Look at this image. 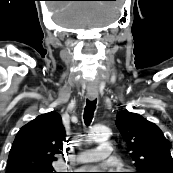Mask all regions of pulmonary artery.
Returning a JSON list of instances; mask_svg holds the SVG:
<instances>
[{"mask_svg": "<svg viewBox=\"0 0 173 173\" xmlns=\"http://www.w3.org/2000/svg\"><path fill=\"white\" fill-rule=\"evenodd\" d=\"M113 148L110 142L103 141L98 147L78 153L75 161L78 163H92L104 160L109 157Z\"/></svg>", "mask_w": 173, "mask_h": 173, "instance_id": "e3ab8cb5", "label": "pulmonary artery"}]
</instances>
